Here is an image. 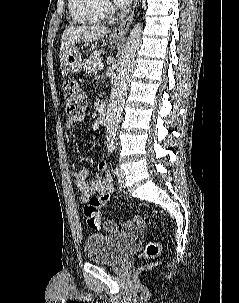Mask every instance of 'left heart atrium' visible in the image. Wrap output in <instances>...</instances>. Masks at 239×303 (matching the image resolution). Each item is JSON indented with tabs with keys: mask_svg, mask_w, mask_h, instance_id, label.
<instances>
[{
	"mask_svg": "<svg viewBox=\"0 0 239 303\" xmlns=\"http://www.w3.org/2000/svg\"><path fill=\"white\" fill-rule=\"evenodd\" d=\"M132 0H114L115 4L124 7L127 6Z\"/></svg>",
	"mask_w": 239,
	"mask_h": 303,
	"instance_id": "1",
	"label": "left heart atrium"
}]
</instances>
